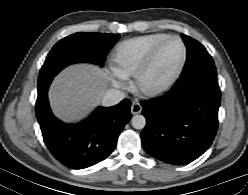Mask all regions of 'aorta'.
<instances>
[{
	"label": "aorta",
	"instance_id": "762f6f07",
	"mask_svg": "<svg viewBox=\"0 0 248 195\" xmlns=\"http://www.w3.org/2000/svg\"><path fill=\"white\" fill-rule=\"evenodd\" d=\"M131 123L135 129H143L146 125V119L143 115H135L132 117Z\"/></svg>",
	"mask_w": 248,
	"mask_h": 195
}]
</instances>
